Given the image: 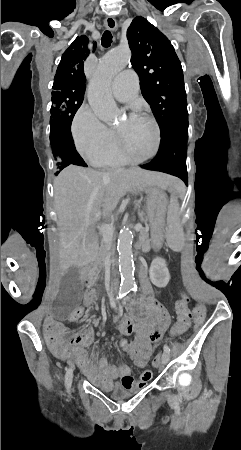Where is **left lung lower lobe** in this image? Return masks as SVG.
Masks as SVG:
<instances>
[{
  "label": "left lung lower lobe",
  "instance_id": "0a47b994",
  "mask_svg": "<svg viewBox=\"0 0 241 450\" xmlns=\"http://www.w3.org/2000/svg\"><path fill=\"white\" fill-rule=\"evenodd\" d=\"M188 131V115L174 119L161 131L160 148L156 157L141 167L148 170L165 172L182 179L188 184L186 168V135Z\"/></svg>",
  "mask_w": 241,
  "mask_h": 450
}]
</instances>
